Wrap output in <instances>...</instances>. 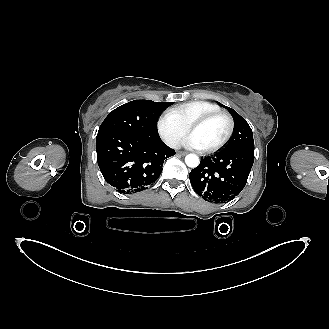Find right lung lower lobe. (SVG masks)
Here are the masks:
<instances>
[{
  "mask_svg": "<svg viewBox=\"0 0 329 329\" xmlns=\"http://www.w3.org/2000/svg\"><path fill=\"white\" fill-rule=\"evenodd\" d=\"M97 162L104 179L117 191H143L159 178L165 159L175 151L161 139L123 132L97 134Z\"/></svg>",
  "mask_w": 329,
  "mask_h": 329,
  "instance_id": "obj_1",
  "label": "right lung lower lobe"
}]
</instances>
